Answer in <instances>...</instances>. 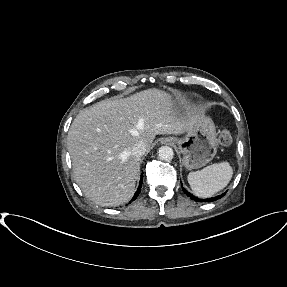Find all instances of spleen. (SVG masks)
<instances>
[{"mask_svg":"<svg viewBox=\"0 0 287 287\" xmlns=\"http://www.w3.org/2000/svg\"><path fill=\"white\" fill-rule=\"evenodd\" d=\"M233 176V169L228 162L209 165L200 171L188 174V183L193 193L202 198L213 196L225 188Z\"/></svg>","mask_w":287,"mask_h":287,"instance_id":"obj_1","label":"spleen"}]
</instances>
